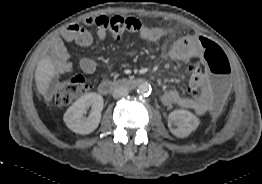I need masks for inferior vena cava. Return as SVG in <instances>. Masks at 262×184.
Returning <instances> with one entry per match:
<instances>
[{"label":"inferior vena cava","instance_id":"obj_1","mask_svg":"<svg viewBox=\"0 0 262 184\" xmlns=\"http://www.w3.org/2000/svg\"><path fill=\"white\" fill-rule=\"evenodd\" d=\"M129 93L128 89L126 87L120 86L113 90V97L118 99L127 96Z\"/></svg>","mask_w":262,"mask_h":184}]
</instances>
